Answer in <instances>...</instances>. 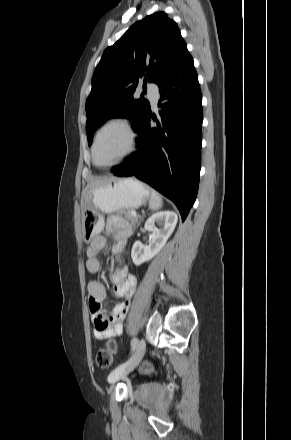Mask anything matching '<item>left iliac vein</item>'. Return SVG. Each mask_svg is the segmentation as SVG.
<instances>
[{"instance_id": "1", "label": "left iliac vein", "mask_w": 291, "mask_h": 440, "mask_svg": "<svg viewBox=\"0 0 291 440\" xmlns=\"http://www.w3.org/2000/svg\"><path fill=\"white\" fill-rule=\"evenodd\" d=\"M144 353L145 342L141 340L130 358L110 372L108 376L109 383H115L131 373L142 360Z\"/></svg>"}]
</instances>
